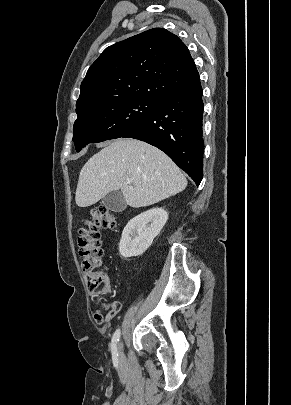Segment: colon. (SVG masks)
<instances>
[{
	"label": "colon",
	"instance_id": "1",
	"mask_svg": "<svg viewBox=\"0 0 291 405\" xmlns=\"http://www.w3.org/2000/svg\"><path fill=\"white\" fill-rule=\"evenodd\" d=\"M115 216L106 208L92 211L91 217L79 230L78 246L81 266L87 288L94 297L108 295L111 291V277L106 269H99L102 261L100 230L115 226Z\"/></svg>",
	"mask_w": 291,
	"mask_h": 405
}]
</instances>
